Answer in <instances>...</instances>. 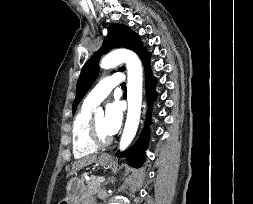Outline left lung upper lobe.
Returning <instances> with one entry per match:
<instances>
[{
	"instance_id": "left-lung-upper-lobe-1",
	"label": "left lung upper lobe",
	"mask_w": 253,
	"mask_h": 204,
	"mask_svg": "<svg viewBox=\"0 0 253 204\" xmlns=\"http://www.w3.org/2000/svg\"><path fill=\"white\" fill-rule=\"evenodd\" d=\"M117 47L130 49L137 53L141 59L147 52L146 49H142L138 34L134 33L129 27L116 23L109 25L108 34L104 39L103 45L99 51L94 53V55L85 63L81 70L76 86V97L73 102V113L76 111L78 103L98 76L100 55ZM120 70L123 71L124 68H121Z\"/></svg>"
}]
</instances>
